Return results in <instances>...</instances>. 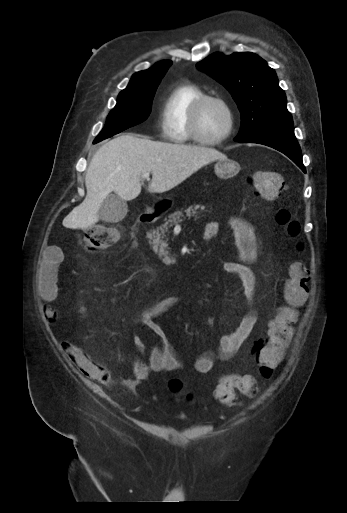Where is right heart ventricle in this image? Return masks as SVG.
<instances>
[{
  "label": "right heart ventricle",
  "mask_w": 347,
  "mask_h": 513,
  "mask_svg": "<svg viewBox=\"0 0 347 513\" xmlns=\"http://www.w3.org/2000/svg\"><path fill=\"white\" fill-rule=\"evenodd\" d=\"M205 92L189 81L176 84L164 99L161 112V132L170 142H193L188 129L189 113L194 103Z\"/></svg>",
  "instance_id": "obj_1"
}]
</instances>
